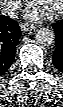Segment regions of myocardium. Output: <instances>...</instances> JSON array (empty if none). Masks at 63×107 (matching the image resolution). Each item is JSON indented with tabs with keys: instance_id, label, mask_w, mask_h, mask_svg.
<instances>
[{
	"instance_id": "f54148a6",
	"label": "myocardium",
	"mask_w": 63,
	"mask_h": 107,
	"mask_svg": "<svg viewBox=\"0 0 63 107\" xmlns=\"http://www.w3.org/2000/svg\"><path fill=\"white\" fill-rule=\"evenodd\" d=\"M32 2H34V1H32ZM62 9H63V1L61 0L58 9L56 11L52 12L50 14V16L51 17H57V16H59L62 13Z\"/></svg>"
}]
</instances>
